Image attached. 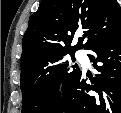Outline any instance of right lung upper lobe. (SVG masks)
Segmentation results:
<instances>
[{"instance_id": "cb5924a9", "label": "right lung upper lobe", "mask_w": 121, "mask_h": 113, "mask_svg": "<svg viewBox=\"0 0 121 113\" xmlns=\"http://www.w3.org/2000/svg\"><path fill=\"white\" fill-rule=\"evenodd\" d=\"M80 32L83 37L71 46ZM119 32L121 7L116 0H42L23 37L21 68L44 55L90 49Z\"/></svg>"}]
</instances>
